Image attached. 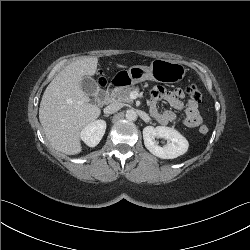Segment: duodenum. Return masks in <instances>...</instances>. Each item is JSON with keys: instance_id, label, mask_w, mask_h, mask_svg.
Wrapping results in <instances>:
<instances>
[{"instance_id": "410a0bca", "label": "duodenum", "mask_w": 250, "mask_h": 250, "mask_svg": "<svg viewBox=\"0 0 250 250\" xmlns=\"http://www.w3.org/2000/svg\"><path fill=\"white\" fill-rule=\"evenodd\" d=\"M120 82L118 80L112 81L108 87L105 89L101 96V101L103 103H109L112 99L113 92L117 86H119Z\"/></svg>"}]
</instances>
